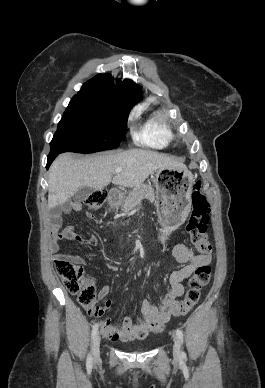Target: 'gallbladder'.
<instances>
[{
    "label": "gallbladder",
    "instance_id": "obj_1",
    "mask_svg": "<svg viewBox=\"0 0 265 388\" xmlns=\"http://www.w3.org/2000/svg\"><path fill=\"white\" fill-rule=\"evenodd\" d=\"M91 188H81L79 192H76L73 196V200L75 202H83V200H86L88 196H90Z\"/></svg>",
    "mask_w": 265,
    "mask_h": 388
}]
</instances>
